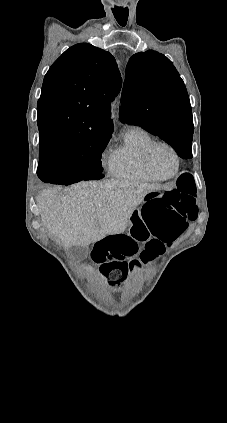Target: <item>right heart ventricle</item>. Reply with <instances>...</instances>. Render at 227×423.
Instances as JSON below:
<instances>
[{
	"label": "right heart ventricle",
	"instance_id": "1",
	"mask_svg": "<svg viewBox=\"0 0 227 423\" xmlns=\"http://www.w3.org/2000/svg\"><path fill=\"white\" fill-rule=\"evenodd\" d=\"M153 141L151 135L139 127L128 128L122 143L110 156L109 172L113 177L136 182L157 181L147 174L142 165V151Z\"/></svg>",
	"mask_w": 227,
	"mask_h": 423
}]
</instances>
